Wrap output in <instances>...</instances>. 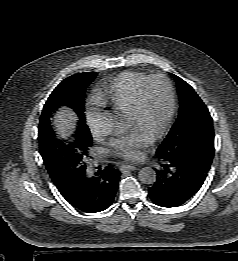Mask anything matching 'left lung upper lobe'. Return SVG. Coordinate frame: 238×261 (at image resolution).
<instances>
[{
	"mask_svg": "<svg viewBox=\"0 0 238 261\" xmlns=\"http://www.w3.org/2000/svg\"><path fill=\"white\" fill-rule=\"evenodd\" d=\"M171 75L177 83L180 109L156 154L164 160L194 161L210 166L215 151L213 120L194 89L178 76Z\"/></svg>",
	"mask_w": 238,
	"mask_h": 261,
	"instance_id": "obj_1",
	"label": "left lung upper lobe"
}]
</instances>
